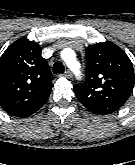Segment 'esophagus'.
I'll list each match as a JSON object with an SVG mask.
<instances>
[{
  "label": "esophagus",
  "instance_id": "1",
  "mask_svg": "<svg viewBox=\"0 0 135 165\" xmlns=\"http://www.w3.org/2000/svg\"><path fill=\"white\" fill-rule=\"evenodd\" d=\"M63 76L66 77V78H71L72 77V73L69 70H67V71H65Z\"/></svg>",
  "mask_w": 135,
  "mask_h": 165
}]
</instances>
